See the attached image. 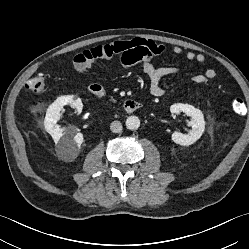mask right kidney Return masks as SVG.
I'll return each instance as SVG.
<instances>
[{
  "instance_id": "obj_1",
  "label": "right kidney",
  "mask_w": 249,
  "mask_h": 249,
  "mask_svg": "<svg viewBox=\"0 0 249 249\" xmlns=\"http://www.w3.org/2000/svg\"><path fill=\"white\" fill-rule=\"evenodd\" d=\"M68 104H72L79 113L82 111L83 104L80 98L74 95L60 96L48 107L44 126L56 143L58 156L65 161H73L79 154L84 138L73 127L64 129L57 125L60 119V110Z\"/></svg>"
}]
</instances>
